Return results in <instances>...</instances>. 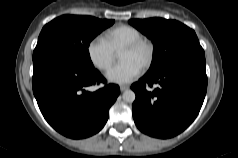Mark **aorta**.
<instances>
[{
  "label": "aorta",
  "mask_w": 238,
  "mask_h": 158,
  "mask_svg": "<svg viewBox=\"0 0 238 158\" xmlns=\"http://www.w3.org/2000/svg\"><path fill=\"white\" fill-rule=\"evenodd\" d=\"M135 98H136V95L132 90L124 91V93H123V100L124 101L132 103V102H134Z\"/></svg>",
  "instance_id": "obj_1"
}]
</instances>
